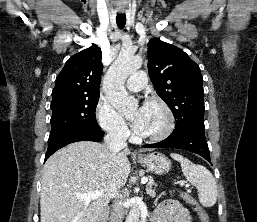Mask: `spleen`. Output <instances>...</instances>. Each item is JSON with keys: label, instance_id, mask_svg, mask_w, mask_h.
I'll return each mask as SVG.
<instances>
[{"label": "spleen", "instance_id": "obj_1", "mask_svg": "<svg viewBox=\"0 0 257 222\" xmlns=\"http://www.w3.org/2000/svg\"><path fill=\"white\" fill-rule=\"evenodd\" d=\"M186 179L198 189L199 201L204 207H212L217 201V184L211 172L202 165L192 163L182 155L172 153Z\"/></svg>", "mask_w": 257, "mask_h": 222}]
</instances>
